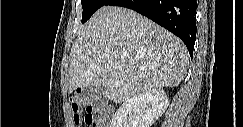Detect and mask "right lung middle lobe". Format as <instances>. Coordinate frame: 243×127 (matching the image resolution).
Segmentation results:
<instances>
[{
    "label": "right lung middle lobe",
    "mask_w": 243,
    "mask_h": 127,
    "mask_svg": "<svg viewBox=\"0 0 243 127\" xmlns=\"http://www.w3.org/2000/svg\"><path fill=\"white\" fill-rule=\"evenodd\" d=\"M108 0H81L83 13L82 23H85L95 11L104 6Z\"/></svg>",
    "instance_id": "dd1d6c3e"
}]
</instances>
